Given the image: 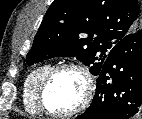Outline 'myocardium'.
<instances>
[{
  "mask_svg": "<svg viewBox=\"0 0 142 119\" xmlns=\"http://www.w3.org/2000/svg\"><path fill=\"white\" fill-rule=\"evenodd\" d=\"M64 70H75L76 72H78L83 80L84 89L81 100L75 108L66 112H56L51 110L47 106L45 101V93L47 87L49 86L52 79L56 76V74ZM94 91H95L94 78L86 66L76 62H64L56 66H53L50 69V71L44 76L38 88L37 101L41 111H43L47 115L53 117H72L81 113L89 106L93 98Z\"/></svg>",
  "mask_w": 142,
  "mask_h": 119,
  "instance_id": "myocardium-1",
  "label": "myocardium"
}]
</instances>
